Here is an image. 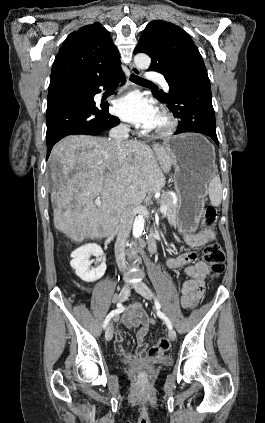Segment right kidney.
<instances>
[{
	"label": "right kidney",
	"instance_id": "1",
	"mask_svg": "<svg viewBox=\"0 0 265 423\" xmlns=\"http://www.w3.org/2000/svg\"><path fill=\"white\" fill-rule=\"evenodd\" d=\"M101 257L102 263L97 268H90L91 256ZM70 265L75 269L76 275L85 282H94L100 279L106 271V258L103 250L95 243L86 244L71 253Z\"/></svg>",
	"mask_w": 265,
	"mask_h": 423
}]
</instances>
